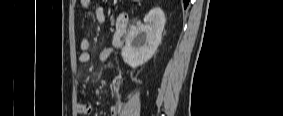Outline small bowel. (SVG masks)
<instances>
[{"instance_id": "1", "label": "small bowel", "mask_w": 283, "mask_h": 116, "mask_svg": "<svg viewBox=\"0 0 283 116\" xmlns=\"http://www.w3.org/2000/svg\"><path fill=\"white\" fill-rule=\"evenodd\" d=\"M81 5L84 9L91 11L96 19L100 23H104L106 21V14L101 7H98L92 3L90 0H81ZM90 41L87 38H83L80 42V50L81 54L79 56V61L81 63H86L90 60L89 54ZM112 53V49H105L100 53L101 60H107L110 54ZM78 110L80 113L89 114L92 112V104L89 102L82 103L79 105ZM110 114L112 116H118L120 114V110L117 104H113L110 107Z\"/></svg>"}]
</instances>
